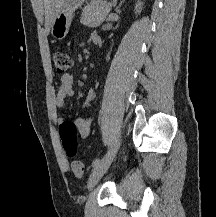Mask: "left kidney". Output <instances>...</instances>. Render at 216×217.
<instances>
[{"instance_id":"obj_1","label":"left kidney","mask_w":216,"mask_h":217,"mask_svg":"<svg viewBox=\"0 0 216 217\" xmlns=\"http://www.w3.org/2000/svg\"><path fill=\"white\" fill-rule=\"evenodd\" d=\"M142 10V2L138 1L136 6H135V13L139 14Z\"/></svg>"}]
</instances>
